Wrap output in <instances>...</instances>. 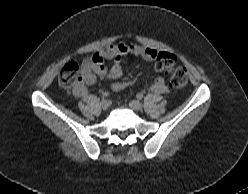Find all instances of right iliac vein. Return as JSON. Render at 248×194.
Returning <instances> with one entry per match:
<instances>
[{"instance_id": "1", "label": "right iliac vein", "mask_w": 248, "mask_h": 194, "mask_svg": "<svg viewBox=\"0 0 248 194\" xmlns=\"http://www.w3.org/2000/svg\"><path fill=\"white\" fill-rule=\"evenodd\" d=\"M100 105L103 110H107L109 108V103L106 100H102Z\"/></svg>"}]
</instances>
